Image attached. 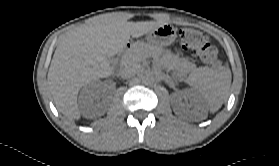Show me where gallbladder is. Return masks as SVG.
Masks as SVG:
<instances>
[{
	"label": "gallbladder",
	"instance_id": "1",
	"mask_svg": "<svg viewBox=\"0 0 279 166\" xmlns=\"http://www.w3.org/2000/svg\"><path fill=\"white\" fill-rule=\"evenodd\" d=\"M108 60L112 62L113 61V57L112 56H108Z\"/></svg>",
	"mask_w": 279,
	"mask_h": 166
}]
</instances>
